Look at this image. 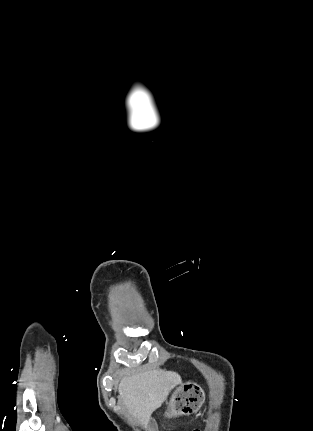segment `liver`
I'll return each instance as SVG.
<instances>
[{
  "instance_id": "liver-1",
  "label": "liver",
  "mask_w": 313,
  "mask_h": 431,
  "mask_svg": "<svg viewBox=\"0 0 313 431\" xmlns=\"http://www.w3.org/2000/svg\"><path fill=\"white\" fill-rule=\"evenodd\" d=\"M181 382L176 372L155 369L138 372L122 378L118 387L119 400L146 427L152 413Z\"/></svg>"
}]
</instances>
